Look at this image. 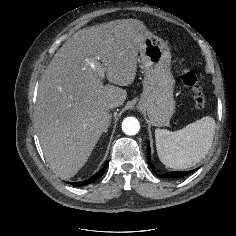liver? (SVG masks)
I'll return each mask as SVG.
<instances>
[{"label": "liver", "mask_w": 236, "mask_h": 236, "mask_svg": "<svg viewBox=\"0 0 236 236\" xmlns=\"http://www.w3.org/2000/svg\"><path fill=\"white\" fill-rule=\"evenodd\" d=\"M150 35L136 19L84 28L69 38L46 67L36 106L39 141L50 168L69 179L85 165L111 121L107 105H123L137 71L138 52ZM100 61L108 81L90 66Z\"/></svg>", "instance_id": "1"}]
</instances>
